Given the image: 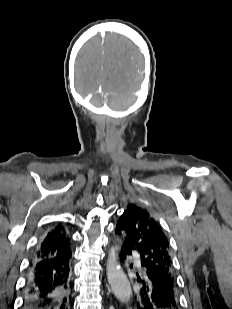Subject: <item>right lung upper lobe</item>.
<instances>
[{"label": "right lung upper lobe", "instance_id": "1", "mask_svg": "<svg viewBox=\"0 0 232 309\" xmlns=\"http://www.w3.org/2000/svg\"><path fill=\"white\" fill-rule=\"evenodd\" d=\"M71 253L70 239L61 223L51 229L43 238L34 259L68 257Z\"/></svg>", "mask_w": 232, "mask_h": 309}]
</instances>
